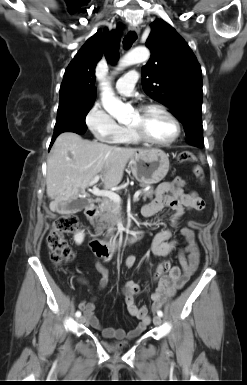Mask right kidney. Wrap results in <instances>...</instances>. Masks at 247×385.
I'll list each match as a JSON object with an SVG mask.
<instances>
[{
  "mask_svg": "<svg viewBox=\"0 0 247 385\" xmlns=\"http://www.w3.org/2000/svg\"><path fill=\"white\" fill-rule=\"evenodd\" d=\"M74 240L77 245H80L84 240V233L83 232L76 233L74 236Z\"/></svg>",
  "mask_w": 247,
  "mask_h": 385,
  "instance_id": "ca27d5eb",
  "label": "right kidney"
}]
</instances>
